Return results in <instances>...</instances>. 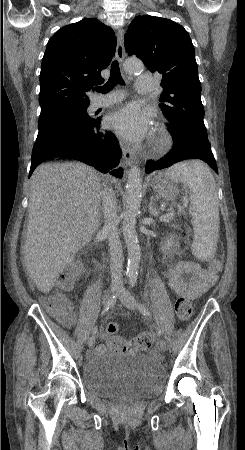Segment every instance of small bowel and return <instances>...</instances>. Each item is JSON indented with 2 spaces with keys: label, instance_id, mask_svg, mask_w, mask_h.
Here are the masks:
<instances>
[{
  "label": "small bowel",
  "instance_id": "obj_1",
  "mask_svg": "<svg viewBox=\"0 0 245 450\" xmlns=\"http://www.w3.org/2000/svg\"><path fill=\"white\" fill-rule=\"evenodd\" d=\"M187 276L190 279H187ZM216 282L217 275L215 272L186 260L179 261L167 273L168 286L178 296L195 297L208 291ZM105 351H107L105 345L96 348V352Z\"/></svg>",
  "mask_w": 245,
  "mask_h": 450
}]
</instances>
